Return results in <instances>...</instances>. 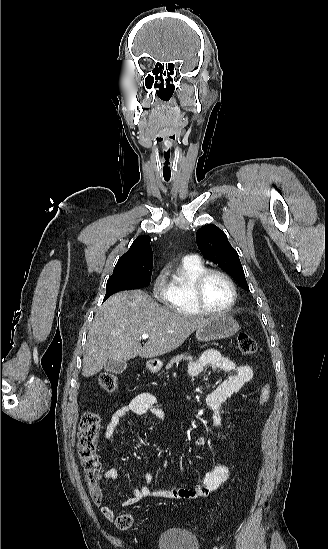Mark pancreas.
<instances>
[{
	"mask_svg": "<svg viewBox=\"0 0 328 549\" xmlns=\"http://www.w3.org/2000/svg\"><path fill=\"white\" fill-rule=\"evenodd\" d=\"M192 359L193 357H191V355H187V353H183V355H177V357H172L171 361L167 363L165 369H171L174 363H180V361H192Z\"/></svg>",
	"mask_w": 328,
	"mask_h": 549,
	"instance_id": "pancreas-1",
	"label": "pancreas"
}]
</instances>
